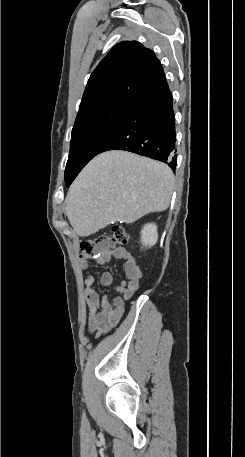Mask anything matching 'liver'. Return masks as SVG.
I'll return each mask as SVG.
<instances>
[{
  "instance_id": "liver-1",
  "label": "liver",
  "mask_w": 245,
  "mask_h": 457,
  "mask_svg": "<svg viewBox=\"0 0 245 457\" xmlns=\"http://www.w3.org/2000/svg\"><path fill=\"white\" fill-rule=\"evenodd\" d=\"M173 188L168 164L127 150H107L92 158L71 184L68 220L78 237H89L116 218L134 222L166 210Z\"/></svg>"
}]
</instances>
